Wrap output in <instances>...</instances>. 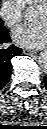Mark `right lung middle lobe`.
<instances>
[{
    "mask_svg": "<svg viewBox=\"0 0 47 129\" xmlns=\"http://www.w3.org/2000/svg\"><path fill=\"white\" fill-rule=\"evenodd\" d=\"M3 25V22L0 20V26Z\"/></svg>",
    "mask_w": 47,
    "mask_h": 129,
    "instance_id": "obj_1",
    "label": "right lung middle lobe"
}]
</instances>
